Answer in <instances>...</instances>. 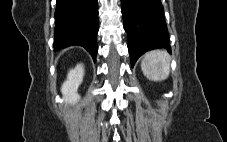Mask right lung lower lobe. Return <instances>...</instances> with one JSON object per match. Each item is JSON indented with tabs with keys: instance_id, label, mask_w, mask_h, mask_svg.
Wrapping results in <instances>:
<instances>
[{
	"instance_id": "1",
	"label": "right lung lower lobe",
	"mask_w": 227,
	"mask_h": 142,
	"mask_svg": "<svg viewBox=\"0 0 227 142\" xmlns=\"http://www.w3.org/2000/svg\"><path fill=\"white\" fill-rule=\"evenodd\" d=\"M98 30L97 0H57L54 50L80 45L95 61Z\"/></svg>"
}]
</instances>
